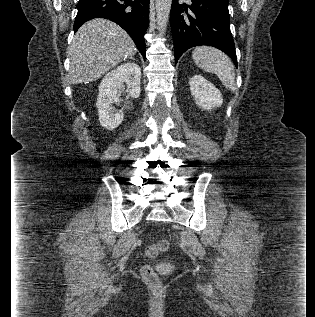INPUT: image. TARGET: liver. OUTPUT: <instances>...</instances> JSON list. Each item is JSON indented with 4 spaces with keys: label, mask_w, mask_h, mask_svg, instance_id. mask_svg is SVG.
I'll return each instance as SVG.
<instances>
[{
    "label": "liver",
    "mask_w": 315,
    "mask_h": 317,
    "mask_svg": "<svg viewBox=\"0 0 315 317\" xmlns=\"http://www.w3.org/2000/svg\"><path fill=\"white\" fill-rule=\"evenodd\" d=\"M136 47L129 35L106 19H93L77 31L68 48L69 79L73 84L93 82L123 59L133 56Z\"/></svg>",
    "instance_id": "1"
}]
</instances>
